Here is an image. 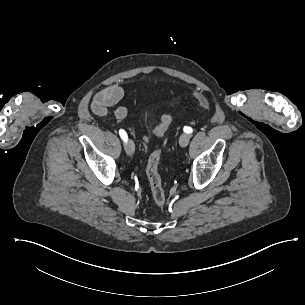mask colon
Returning <instances> with one entry per match:
<instances>
[{"label": "colon", "mask_w": 305, "mask_h": 305, "mask_svg": "<svg viewBox=\"0 0 305 305\" xmlns=\"http://www.w3.org/2000/svg\"><path fill=\"white\" fill-rule=\"evenodd\" d=\"M190 90L192 92H195L197 90V87L195 85H192L190 87ZM196 99L200 103V105L205 109H210L211 105L208 99L198 92L196 94ZM172 117L170 114H164L160 118V123L157 124L154 128L155 134H163L167 126L171 123ZM161 152L159 149H156L153 151L149 158L146 168V174L149 180L150 184V190H151V196L153 202L159 206L162 207L166 202V194L162 186L161 178L159 176L158 167L160 162Z\"/></svg>", "instance_id": "1"}]
</instances>
